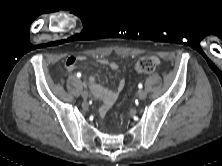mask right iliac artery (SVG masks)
Here are the masks:
<instances>
[{
	"instance_id": "1",
	"label": "right iliac artery",
	"mask_w": 222,
	"mask_h": 166,
	"mask_svg": "<svg viewBox=\"0 0 222 166\" xmlns=\"http://www.w3.org/2000/svg\"><path fill=\"white\" fill-rule=\"evenodd\" d=\"M77 77H78V78L81 77V73H77Z\"/></svg>"
}]
</instances>
